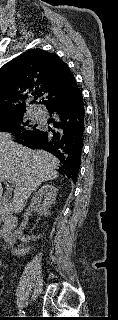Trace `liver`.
Listing matches in <instances>:
<instances>
[{
  "mask_svg": "<svg viewBox=\"0 0 118 320\" xmlns=\"http://www.w3.org/2000/svg\"><path fill=\"white\" fill-rule=\"evenodd\" d=\"M59 163L51 153L20 145L10 134L0 132V200L2 179H9L15 184L13 197L2 203V212H20L41 183L57 178Z\"/></svg>",
  "mask_w": 118,
  "mask_h": 320,
  "instance_id": "liver-1",
  "label": "liver"
}]
</instances>
